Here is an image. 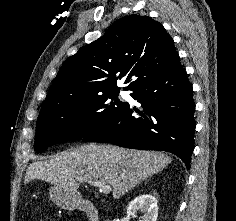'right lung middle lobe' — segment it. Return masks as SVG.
<instances>
[{"instance_id":"dd1d6c3e","label":"right lung middle lobe","mask_w":236,"mask_h":221,"mask_svg":"<svg viewBox=\"0 0 236 221\" xmlns=\"http://www.w3.org/2000/svg\"><path fill=\"white\" fill-rule=\"evenodd\" d=\"M119 90L85 96L40 111L34 148L40 153L48 147L82 139L101 129L127 102L118 100Z\"/></svg>"}]
</instances>
